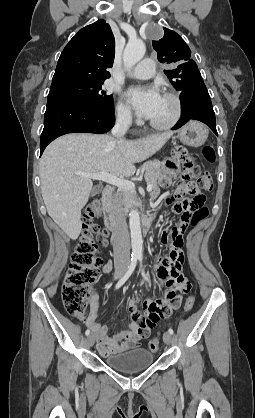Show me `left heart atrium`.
Returning a JSON list of instances; mask_svg holds the SVG:
<instances>
[{
  "mask_svg": "<svg viewBox=\"0 0 255 418\" xmlns=\"http://www.w3.org/2000/svg\"><path fill=\"white\" fill-rule=\"evenodd\" d=\"M127 96L136 112L145 118L153 115L162 97L155 87H134L128 91Z\"/></svg>",
  "mask_w": 255,
  "mask_h": 418,
  "instance_id": "1",
  "label": "left heart atrium"
}]
</instances>
